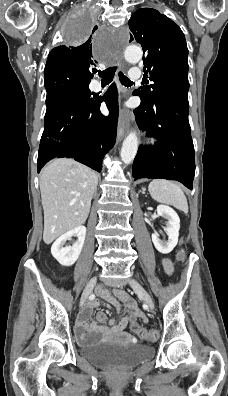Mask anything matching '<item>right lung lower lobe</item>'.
<instances>
[{
    "label": "right lung lower lobe",
    "mask_w": 228,
    "mask_h": 396,
    "mask_svg": "<svg viewBox=\"0 0 228 396\" xmlns=\"http://www.w3.org/2000/svg\"><path fill=\"white\" fill-rule=\"evenodd\" d=\"M117 89L113 84L103 98L71 97L46 111L37 170L54 158L74 160L101 172L104 155L116 140ZM105 101L109 116L100 112Z\"/></svg>",
    "instance_id": "1"
}]
</instances>
